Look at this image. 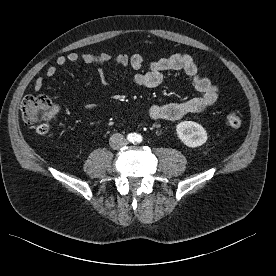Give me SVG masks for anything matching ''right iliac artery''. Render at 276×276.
Instances as JSON below:
<instances>
[{"instance_id": "right-iliac-artery-1", "label": "right iliac artery", "mask_w": 276, "mask_h": 276, "mask_svg": "<svg viewBox=\"0 0 276 276\" xmlns=\"http://www.w3.org/2000/svg\"><path fill=\"white\" fill-rule=\"evenodd\" d=\"M127 140H128L129 142H134V140H135V135L132 134V133L128 134Z\"/></svg>"}]
</instances>
